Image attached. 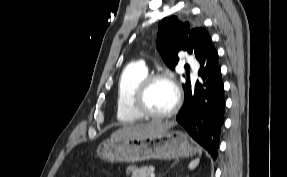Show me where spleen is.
Masks as SVG:
<instances>
[{
  "instance_id": "spleen-1",
  "label": "spleen",
  "mask_w": 287,
  "mask_h": 177,
  "mask_svg": "<svg viewBox=\"0 0 287 177\" xmlns=\"http://www.w3.org/2000/svg\"><path fill=\"white\" fill-rule=\"evenodd\" d=\"M201 154H202V151L199 150V155H201ZM198 164H199V158L191 161L188 167L190 170H193L194 168H196L198 166Z\"/></svg>"
}]
</instances>
